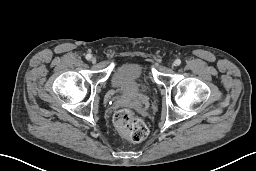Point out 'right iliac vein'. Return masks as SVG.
<instances>
[{
    "mask_svg": "<svg viewBox=\"0 0 256 171\" xmlns=\"http://www.w3.org/2000/svg\"><path fill=\"white\" fill-rule=\"evenodd\" d=\"M91 62H92L93 64H95V63H96V58H95V57H92V58H91Z\"/></svg>",
    "mask_w": 256,
    "mask_h": 171,
    "instance_id": "right-iliac-vein-1",
    "label": "right iliac vein"
}]
</instances>
